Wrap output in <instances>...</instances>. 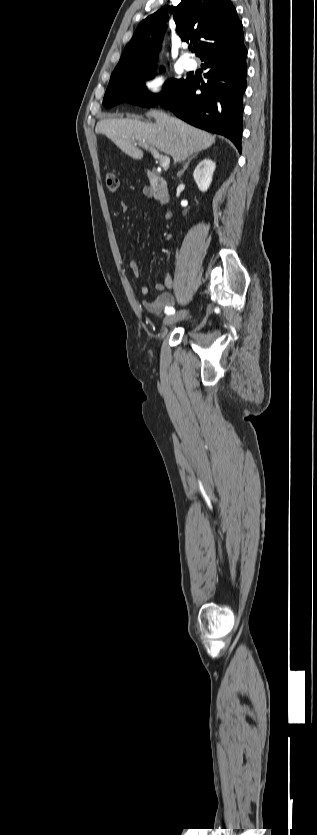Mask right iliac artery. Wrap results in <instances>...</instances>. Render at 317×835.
<instances>
[{
    "mask_svg": "<svg viewBox=\"0 0 317 835\" xmlns=\"http://www.w3.org/2000/svg\"><path fill=\"white\" fill-rule=\"evenodd\" d=\"M165 313L168 315L174 314L175 309L173 307L166 308Z\"/></svg>",
    "mask_w": 317,
    "mask_h": 835,
    "instance_id": "82829eb1",
    "label": "right iliac artery"
}]
</instances>
